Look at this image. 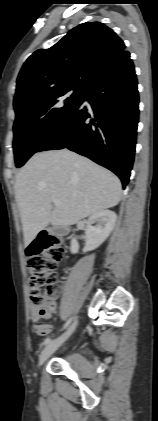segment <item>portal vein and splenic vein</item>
<instances>
[{"mask_svg": "<svg viewBox=\"0 0 158 421\" xmlns=\"http://www.w3.org/2000/svg\"><path fill=\"white\" fill-rule=\"evenodd\" d=\"M54 205L57 207V206H59L60 205V202H59V200H54Z\"/></svg>", "mask_w": 158, "mask_h": 421, "instance_id": "obj_1", "label": "portal vein and splenic vein"}]
</instances>
